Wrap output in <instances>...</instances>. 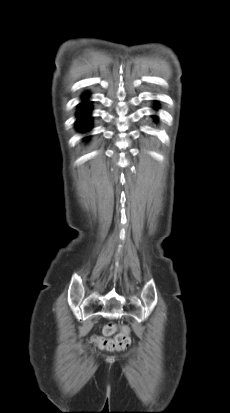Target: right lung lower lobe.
Returning a JSON list of instances; mask_svg holds the SVG:
<instances>
[{"mask_svg":"<svg viewBox=\"0 0 230 413\" xmlns=\"http://www.w3.org/2000/svg\"><path fill=\"white\" fill-rule=\"evenodd\" d=\"M92 110L91 103L88 101H83L79 104L77 116L78 120L76 122V127L81 131H87L91 128V117L90 112Z\"/></svg>","mask_w":230,"mask_h":413,"instance_id":"obj_1","label":"right lung lower lobe"}]
</instances>
